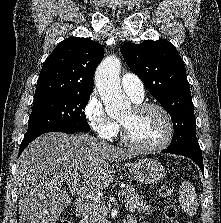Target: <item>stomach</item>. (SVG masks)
Here are the masks:
<instances>
[{
	"label": "stomach",
	"mask_w": 221,
	"mask_h": 223,
	"mask_svg": "<svg viewBox=\"0 0 221 223\" xmlns=\"http://www.w3.org/2000/svg\"><path fill=\"white\" fill-rule=\"evenodd\" d=\"M128 170L137 182L149 185L159 183L166 175L165 167L151 158L138 159L128 164Z\"/></svg>",
	"instance_id": "1"
}]
</instances>
